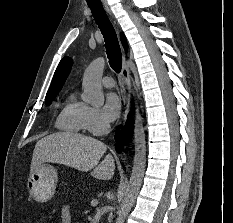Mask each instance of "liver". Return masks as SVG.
<instances>
[{"label":"liver","mask_w":233,"mask_h":223,"mask_svg":"<svg viewBox=\"0 0 233 223\" xmlns=\"http://www.w3.org/2000/svg\"><path fill=\"white\" fill-rule=\"evenodd\" d=\"M107 145L80 133L71 131H58L39 139L32 155L31 169H37L39 163L51 161V163H63L68 167H74L78 171H90L96 179H112L115 173V159L111 153H106Z\"/></svg>","instance_id":"6515ba94"}]
</instances>
